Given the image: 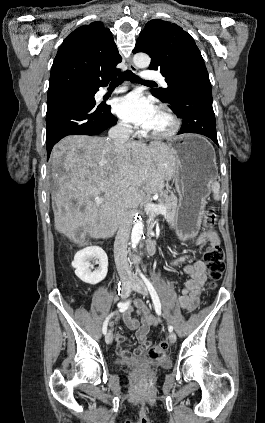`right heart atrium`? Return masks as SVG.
I'll list each match as a JSON object with an SVG mask.
<instances>
[{"label":"right heart atrium","instance_id":"obj_1","mask_svg":"<svg viewBox=\"0 0 265 423\" xmlns=\"http://www.w3.org/2000/svg\"><path fill=\"white\" fill-rule=\"evenodd\" d=\"M118 128L125 132H132L133 130L132 126L125 121L118 122Z\"/></svg>","mask_w":265,"mask_h":423}]
</instances>
